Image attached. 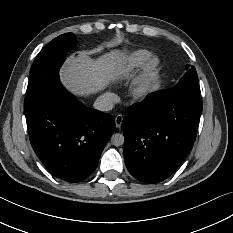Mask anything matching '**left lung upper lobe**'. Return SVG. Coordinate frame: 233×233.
Instances as JSON below:
<instances>
[{
  "mask_svg": "<svg viewBox=\"0 0 233 233\" xmlns=\"http://www.w3.org/2000/svg\"><path fill=\"white\" fill-rule=\"evenodd\" d=\"M187 70L188 72L184 75L183 79H180L173 87L162 90V94L168 96L200 98L196 69L192 66L190 69L187 67Z\"/></svg>",
  "mask_w": 233,
  "mask_h": 233,
  "instance_id": "obj_1",
  "label": "left lung upper lobe"
}]
</instances>
